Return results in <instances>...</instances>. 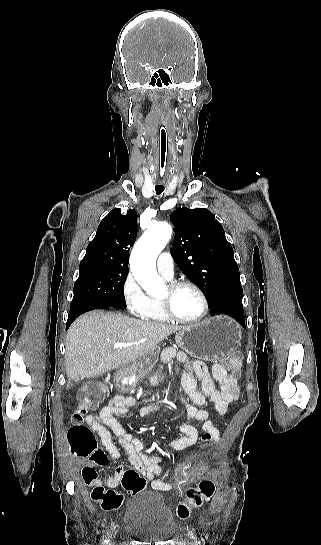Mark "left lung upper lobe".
<instances>
[{
    "label": "left lung upper lobe",
    "mask_w": 321,
    "mask_h": 545,
    "mask_svg": "<svg viewBox=\"0 0 321 545\" xmlns=\"http://www.w3.org/2000/svg\"><path fill=\"white\" fill-rule=\"evenodd\" d=\"M207 209L179 208L170 216L175 226L172 255L179 269L213 301L241 286L234 251L222 225Z\"/></svg>",
    "instance_id": "1"
}]
</instances>
